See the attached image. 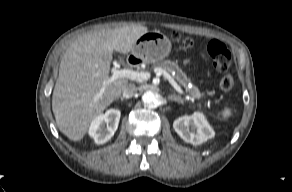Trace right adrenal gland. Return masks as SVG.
I'll return each mask as SVG.
<instances>
[{
  "label": "right adrenal gland",
  "instance_id": "right-adrenal-gland-1",
  "mask_svg": "<svg viewBox=\"0 0 292 192\" xmlns=\"http://www.w3.org/2000/svg\"><path fill=\"white\" fill-rule=\"evenodd\" d=\"M121 100V101H124V99L122 97H118L116 100Z\"/></svg>",
  "mask_w": 292,
  "mask_h": 192
}]
</instances>
